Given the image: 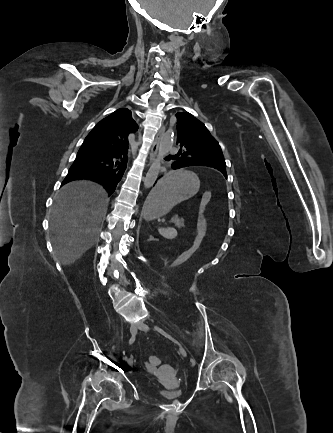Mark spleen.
I'll return each mask as SVG.
<instances>
[{
    "instance_id": "spleen-1",
    "label": "spleen",
    "mask_w": 333,
    "mask_h": 433,
    "mask_svg": "<svg viewBox=\"0 0 333 433\" xmlns=\"http://www.w3.org/2000/svg\"><path fill=\"white\" fill-rule=\"evenodd\" d=\"M198 189H199V186H198ZM195 193L196 192H194V194ZM148 221H150V220H148ZM158 231L163 237L168 238V239L175 238L177 236V233L174 232L173 230H171V228H158Z\"/></svg>"
}]
</instances>
